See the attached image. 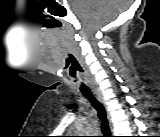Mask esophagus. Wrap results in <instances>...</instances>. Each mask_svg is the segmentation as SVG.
<instances>
[{"mask_svg": "<svg viewBox=\"0 0 160 137\" xmlns=\"http://www.w3.org/2000/svg\"><path fill=\"white\" fill-rule=\"evenodd\" d=\"M95 94H96V97H97V99L99 100V102H100L104 107H106V106H105V103H104V100H103V98H102V96H101V94H100V93H95ZM107 118H108V121H109L110 128H112V124H111V121H110V115H109L108 112H107Z\"/></svg>", "mask_w": 160, "mask_h": 137, "instance_id": "34e87169", "label": "esophagus"}]
</instances>
